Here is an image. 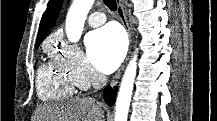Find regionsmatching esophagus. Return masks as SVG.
<instances>
[{
  "instance_id": "34e87169",
  "label": "esophagus",
  "mask_w": 217,
  "mask_h": 121,
  "mask_svg": "<svg viewBox=\"0 0 217 121\" xmlns=\"http://www.w3.org/2000/svg\"><path fill=\"white\" fill-rule=\"evenodd\" d=\"M116 3H117V14H118V17L122 23V25L125 27L126 31H127V34H128V38H129V44H131V30H130V26H129V23H128V20H127V17H126V14H125V11H124V7H123V4H122V1L121 0H116ZM127 60V59H126ZM126 63V61H125ZM125 63H123L121 65V67L119 68V70L115 73V75L112 77V80L110 82V85L113 87L115 86L121 75H122V72L125 68Z\"/></svg>"
}]
</instances>
